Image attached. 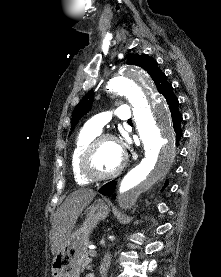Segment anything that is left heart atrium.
I'll use <instances>...</instances> for the list:
<instances>
[{"mask_svg": "<svg viewBox=\"0 0 221 277\" xmlns=\"http://www.w3.org/2000/svg\"><path fill=\"white\" fill-rule=\"evenodd\" d=\"M121 152L124 153V148L123 146H120Z\"/></svg>", "mask_w": 221, "mask_h": 277, "instance_id": "39dd6f15", "label": "left heart atrium"}]
</instances>
